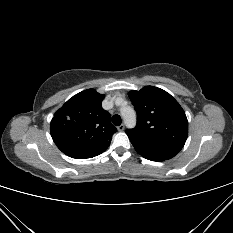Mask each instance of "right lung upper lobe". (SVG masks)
I'll return each mask as SVG.
<instances>
[{
    "mask_svg": "<svg viewBox=\"0 0 233 233\" xmlns=\"http://www.w3.org/2000/svg\"><path fill=\"white\" fill-rule=\"evenodd\" d=\"M104 95L94 89L69 99L51 121L50 131L57 147L76 159L92 158L104 152L117 131L110 114L101 106Z\"/></svg>",
    "mask_w": 233,
    "mask_h": 233,
    "instance_id": "obj_1",
    "label": "right lung upper lobe"
}]
</instances>
